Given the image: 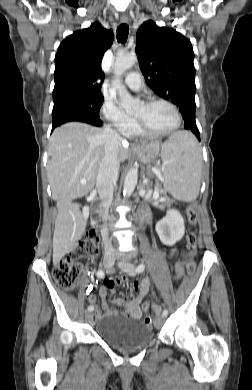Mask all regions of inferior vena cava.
Returning a JSON list of instances; mask_svg holds the SVG:
<instances>
[{"label": "inferior vena cava", "instance_id": "1", "mask_svg": "<svg viewBox=\"0 0 252 390\" xmlns=\"http://www.w3.org/2000/svg\"><path fill=\"white\" fill-rule=\"evenodd\" d=\"M104 132L106 136L105 154L99 167L96 187L101 201L100 207L107 215L113 199V186L118 178L120 162L117 154L121 137L109 126L105 127ZM101 234L105 252H112L114 249L111 240L108 238L107 228H104Z\"/></svg>", "mask_w": 252, "mask_h": 390}]
</instances>
